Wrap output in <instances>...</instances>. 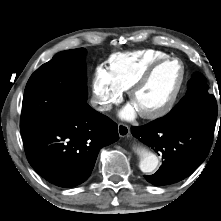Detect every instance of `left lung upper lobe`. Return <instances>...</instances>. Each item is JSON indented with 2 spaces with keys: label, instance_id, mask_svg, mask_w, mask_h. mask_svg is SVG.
I'll return each instance as SVG.
<instances>
[{
  "label": "left lung upper lobe",
  "instance_id": "left-lung-upper-lobe-1",
  "mask_svg": "<svg viewBox=\"0 0 221 221\" xmlns=\"http://www.w3.org/2000/svg\"><path fill=\"white\" fill-rule=\"evenodd\" d=\"M206 79L199 73L188 82L185 97L166 116L159 118L161 124L203 122L216 124L217 103L208 93Z\"/></svg>",
  "mask_w": 221,
  "mask_h": 221
}]
</instances>
